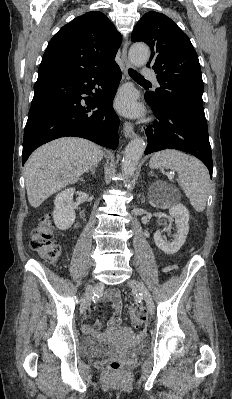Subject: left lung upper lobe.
Here are the masks:
<instances>
[{
    "mask_svg": "<svg viewBox=\"0 0 232 399\" xmlns=\"http://www.w3.org/2000/svg\"><path fill=\"white\" fill-rule=\"evenodd\" d=\"M131 39L151 48L147 67L155 71L161 87L146 95L157 103L180 108L207 127L201 68L188 36L166 15L151 11L139 20Z\"/></svg>",
    "mask_w": 232,
    "mask_h": 399,
    "instance_id": "5c2ea615",
    "label": "left lung upper lobe"
}]
</instances>
